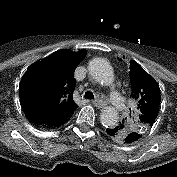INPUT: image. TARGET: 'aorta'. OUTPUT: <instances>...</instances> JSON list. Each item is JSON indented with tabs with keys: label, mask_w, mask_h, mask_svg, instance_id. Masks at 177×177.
<instances>
[{
	"label": "aorta",
	"mask_w": 177,
	"mask_h": 177,
	"mask_svg": "<svg viewBox=\"0 0 177 177\" xmlns=\"http://www.w3.org/2000/svg\"><path fill=\"white\" fill-rule=\"evenodd\" d=\"M88 71L92 78L103 85H110L114 80V72L110 63L103 58H94L89 62ZM118 112L113 107H105L100 114V121L105 127L116 126Z\"/></svg>",
	"instance_id": "1"
}]
</instances>
